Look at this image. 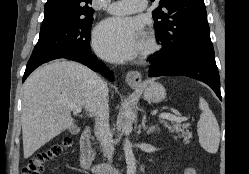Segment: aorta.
Segmentation results:
<instances>
[{
  "label": "aorta",
  "mask_w": 249,
  "mask_h": 174,
  "mask_svg": "<svg viewBox=\"0 0 249 174\" xmlns=\"http://www.w3.org/2000/svg\"><path fill=\"white\" fill-rule=\"evenodd\" d=\"M124 116H125V122L122 126V132L126 136L124 142V154L127 164V174H136L135 158L131 148V143L128 139V136L132 132V119L134 117V112L131 107H126Z\"/></svg>",
  "instance_id": "aorta-1"
}]
</instances>
